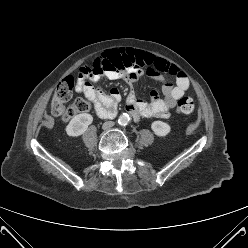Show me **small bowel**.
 <instances>
[{
    "label": "small bowel",
    "instance_id": "c3829d8e",
    "mask_svg": "<svg viewBox=\"0 0 248 248\" xmlns=\"http://www.w3.org/2000/svg\"><path fill=\"white\" fill-rule=\"evenodd\" d=\"M115 52L129 62L130 67L126 71H106L98 74L89 73L88 66L84 67L81 69L80 78L75 87L76 92L83 94L92 102L98 117L112 118L120 101L119 90L114 87L109 93H106L102 89L94 87L92 82H97L100 78L105 77L110 80L122 79L134 83L143 76H148L162 84L164 97L159 98L157 91L152 90L150 92L151 101L146 102L136 99L134 94L130 93L126 100V110L135 120L148 117L168 118L170 111L185 95L189 87L186 75L175 65L148 52L131 49L116 50ZM165 75L175 77V84L168 81Z\"/></svg>",
    "mask_w": 248,
    "mask_h": 248
}]
</instances>
